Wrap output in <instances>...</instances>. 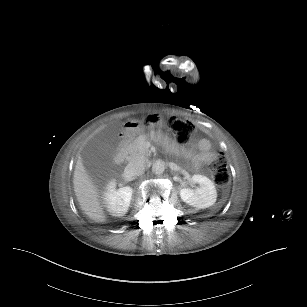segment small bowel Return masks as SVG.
Instances as JSON below:
<instances>
[{
    "mask_svg": "<svg viewBox=\"0 0 307 307\" xmlns=\"http://www.w3.org/2000/svg\"><path fill=\"white\" fill-rule=\"evenodd\" d=\"M186 152L195 169H198L203 164H209L216 157V153L212 151L211 144L207 139H200L189 147Z\"/></svg>",
    "mask_w": 307,
    "mask_h": 307,
    "instance_id": "small-bowel-1",
    "label": "small bowel"
}]
</instances>
